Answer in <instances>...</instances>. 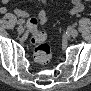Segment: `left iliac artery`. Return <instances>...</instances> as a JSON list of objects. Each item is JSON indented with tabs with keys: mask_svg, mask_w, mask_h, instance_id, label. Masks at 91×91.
<instances>
[{
	"mask_svg": "<svg viewBox=\"0 0 91 91\" xmlns=\"http://www.w3.org/2000/svg\"><path fill=\"white\" fill-rule=\"evenodd\" d=\"M78 27V23L77 22H74L73 24H70L69 25V28L70 29H75V28H77Z\"/></svg>",
	"mask_w": 91,
	"mask_h": 91,
	"instance_id": "44dca946",
	"label": "left iliac artery"
}]
</instances>
